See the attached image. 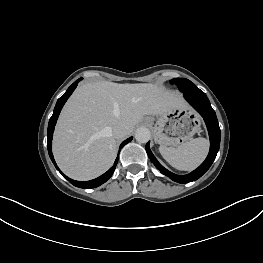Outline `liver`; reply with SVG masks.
I'll return each mask as SVG.
<instances>
[{
	"instance_id": "obj_1",
	"label": "liver",
	"mask_w": 263,
	"mask_h": 263,
	"mask_svg": "<svg viewBox=\"0 0 263 263\" xmlns=\"http://www.w3.org/2000/svg\"><path fill=\"white\" fill-rule=\"evenodd\" d=\"M184 105L180 94L153 84H82L58 119L53 138L56 162L72 179L96 178L115 160L114 125L125 124L127 136L145 115H163Z\"/></svg>"
}]
</instances>
